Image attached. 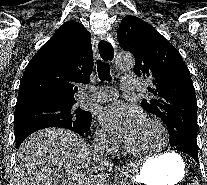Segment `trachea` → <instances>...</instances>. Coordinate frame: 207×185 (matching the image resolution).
Returning <instances> with one entry per match:
<instances>
[{
  "label": "trachea",
  "mask_w": 207,
  "mask_h": 185,
  "mask_svg": "<svg viewBox=\"0 0 207 185\" xmlns=\"http://www.w3.org/2000/svg\"><path fill=\"white\" fill-rule=\"evenodd\" d=\"M99 52L104 60L103 62L101 60H98L97 64V71H98V76L100 80H111V75H110V69L107 60H111L113 58L114 50L113 47L111 46L110 43L106 41H101L99 43Z\"/></svg>",
  "instance_id": "trachea-1"
}]
</instances>
